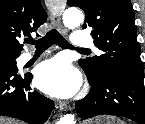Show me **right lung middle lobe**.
Wrapping results in <instances>:
<instances>
[{"label":"right lung middle lobe","mask_w":145,"mask_h":124,"mask_svg":"<svg viewBox=\"0 0 145 124\" xmlns=\"http://www.w3.org/2000/svg\"><path fill=\"white\" fill-rule=\"evenodd\" d=\"M19 57V55H12L5 52H0V62H9L14 64L15 59Z\"/></svg>","instance_id":"1"}]
</instances>
